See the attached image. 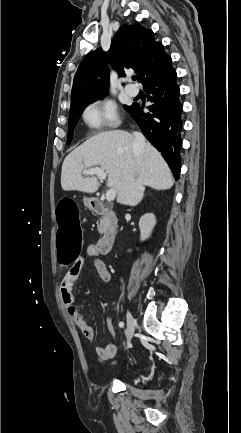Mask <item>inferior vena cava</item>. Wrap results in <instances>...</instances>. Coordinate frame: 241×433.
Wrapping results in <instances>:
<instances>
[{
    "mask_svg": "<svg viewBox=\"0 0 241 433\" xmlns=\"http://www.w3.org/2000/svg\"><path fill=\"white\" fill-rule=\"evenodd\" d=\"M145 148V139L139 132L133 133L132 150L135 157V172L139 171L142 163V154Z\"/></svg>",
    "mask_w": 241,
    "mask_h": 433,
    "instance_id": "obj_1",
    "label": "inferior vena cava"
}]
</instances>
